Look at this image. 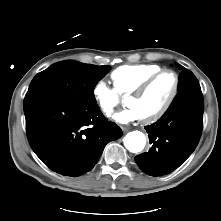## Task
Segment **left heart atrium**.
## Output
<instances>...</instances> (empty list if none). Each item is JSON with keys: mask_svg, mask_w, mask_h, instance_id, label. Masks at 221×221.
<instances>
[{"mask_svg": "<svg viewBox=\"0 0 221 221\" xmlns=\"http://www.w3.org/2000/svg\"><path fill=\"white\" fill-rule=\"evenodd\" d=\"M114 120L120 124H129L134 121H137L141 119L138 111L135 108L128 107L126 109H123L119 112H117L113 116Z\"/></svg>", "mask_w": 221, "mask_h": 221, "instance_id": "left-heart-atrium-1", "label": "left heart atrium"}]
</instances>
